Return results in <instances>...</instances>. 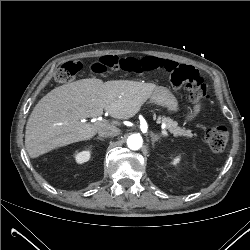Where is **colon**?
<instances>
[{
	"mask_svg": "<svg viewBox=\"0 0 250 250\" xmlns=\"http://www.w3.org/2000/svg\"><path fill=\"white\" fill-rule=\"evenodd\" d=\"M82 64L77 60H71L61 65L55 73L56 81L67 83L74 79L81 70ZM157 64L153 61H145L136 58L104 57L99 59L93 66L97 73L123 70L127 72L153 71L157 70ZM171 83L173 86H184L185 96L189 103L201 106L210 101L211 96L200 72L191 66L180 65L171 72ZM205 139L214 152H221L228 142V130L224 126L210 127L205 132Z\"/></svg>",
	"mask_w": 250,
	"mask_h": 250,
	"instance_id": "obj_1",
	"label": "colon"
}]
</instances>
